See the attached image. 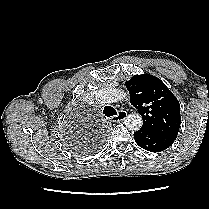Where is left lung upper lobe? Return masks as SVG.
I'll return each instance as SVG.
<instances>
[{"label":"left lung upper lobe","instance_id":"left-lung-upper-lobe-1","mask_svg":"<svg viewBox=\"0 0 209 209\" xmlns=\"http://www.w3.org/2000/svg\"><path fill=\"white\" fill-rule=\"evenodd\" d=\"M125 84L131 104L142 116L141 128L176 138L181 123L180 104L166 85L150 74L134 75Z\"/></svg>","mask_w":209,"mask_h":209}]
</instances>
